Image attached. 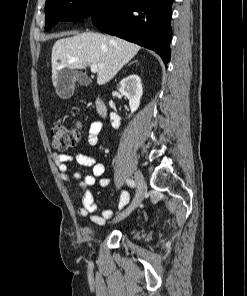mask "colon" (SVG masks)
Returning <instances> with one entry per match:
<instances>
[{"label": "colon", "instance_id": "1", "mask_svg": "<svg viewBox=\"0 0 247 296\" xmlns=\"http://www.w3.org/2000/svg\"><path fill=\"white\" fill-rule=\"evenodd\" d=\"M53 149L57 152L74 147L80 138L78 126H68L63 122H57L51 127Z\"/></svg>", "mask_w": 247, "mask_h": 296}]
</instances>
